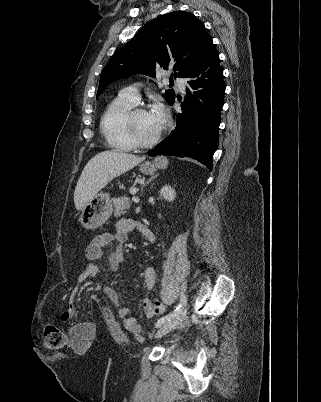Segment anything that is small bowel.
I'll return each instance as SVG.
<instances>
[{"label":"small bowel","instance_id":"1","mask_svg":"<svg viewBox=\"0 0 321 402\" xmlns=\"http://www.w3.org/2000/svg\"><path fill=\"white\" fill-rule=\"evenodd\" d=\"M139 231L149 242L155 240L154 232L147 226L133 220L121 219L117 222L113 232L101 233L95 236L86 249V257L89 260L78 281L82 282L94 278L99 270L98 261L104 256L105 251L109 250L108 270L116 271L123 262V250L120 247L128 235L133 231ZM156 269L149 266L144 271V283L148 289H153L156 283ZM105 294L110 302L118 308V316L123 320L124 327L133 333H140L141 326L138 324L137 318L131 315V309L125 307L121 303L119 293L111 286L105 288ZM142 307L147 317H152L154 311L150 299L145 298L142 301ZM76 315L74 306L69 305L61 314V320L68 325V345L71 347L73 358H84L86 351L89 349L90 335L96 333V322L88 321L85 323H72Z\"/></svg>","mask_w":321,"mask_h":402}]
</instances>
